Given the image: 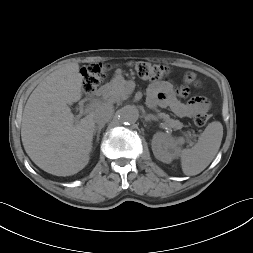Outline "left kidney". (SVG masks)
Returning a JSON list of instances; mask_svg holds the SVG:
<instances>
[{"label":"left kidney","mask_w":253,"mask_h":253,"mask_svg":"<svg viewBox=\"0 0 253 253\" xmlns=\"http://www.w3.org/2000/svg\"><path fill=\"white\" fill-rule=\"evenodd\" d=\"M181 141V139H175L162 132H157L152 139V151L154 156L164 163H171L176 157L177 145L180 144Z\"/></svg>","instance_id":"1"}]
</instances>
